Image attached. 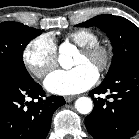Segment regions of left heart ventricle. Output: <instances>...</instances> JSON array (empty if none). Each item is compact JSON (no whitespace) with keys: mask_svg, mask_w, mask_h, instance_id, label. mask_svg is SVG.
<instances>
[{"mask_svg":"<svg viewBox=\"0 0 139 139\" xmlns=\"http://www.w3.org/2000/svg\"><path fill=\"white\" fill-rule=\"evenodd\" d=\"M83 64H88L92 66L94 69H96V62L80 51L77 57L75 58L74 65L79 66Z\"/></svg>","mask_w":139,"mask_h":139,"instance_id":"b2bd125f","label":"left heart ventricle"}]
</instances>
